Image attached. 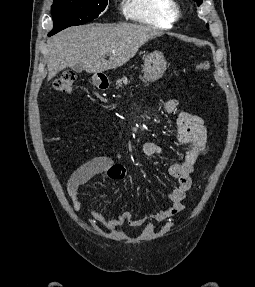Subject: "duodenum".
<instances>
[{
    "label": "duodenum",
    "instance_id": "obj_1",
    "mask_svg": "<svg viewBox=\"0 0 255 287\" xmlns=\"http://www.w3.org/2000/svg\"><path fill=\"white\" fill-rule=\"evenodd\" d=\"M95 85L97 88L101 89V90H104V89H107L108 88V82L106 80H102V79H97L95 81Z\"/></svg>",
    "mask_w": 255,
    "mask_h": 287
}]
</instances>
